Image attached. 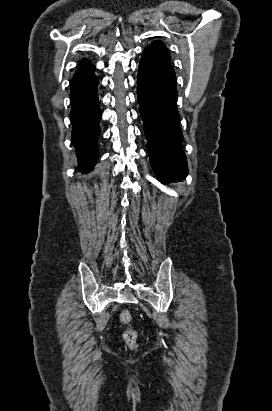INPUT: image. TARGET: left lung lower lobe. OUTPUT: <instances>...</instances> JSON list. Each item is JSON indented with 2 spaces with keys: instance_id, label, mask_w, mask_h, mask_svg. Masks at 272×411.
<instances>
[{
  "instance_id": "1",
  "label": "left lung lower lobe",
  "mask_w": 272,
  "mask_h": 411,
  "mask_svg": "<svg viewBox=\"0 0 272 411\" xmlns=\"http://www.w3.org/2000/svg\"><path fill=\"white\" fill-rule=\"evenodd\" d=\"M137 90L150 163L158 180L164 183L186 178L187 161L176 105V75L171 62L145 48L138 69Z\"/></svg>"
}]
</instances>
